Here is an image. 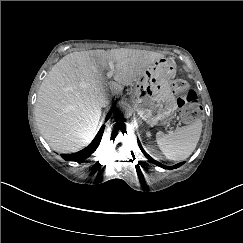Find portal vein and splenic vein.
Masks as SVG:
<instances>
[{"label":"portal vein and splenic vein","mask_w":243,"mask_h":243,"mask_svg":"<svg viewBox=\"0 0 243 243\" xmlns=\"http://www.w3.org/2000/svg\"><path fill=\"white\" fill-rule=\"evenodd\" d=\"M109 66H110V69H111V70L108 72L107 76H108V77H112L113 72H114V64H113L112 61L109 62Z\"/></svg>","instance_id":"1"}]
</instances>
